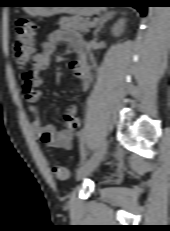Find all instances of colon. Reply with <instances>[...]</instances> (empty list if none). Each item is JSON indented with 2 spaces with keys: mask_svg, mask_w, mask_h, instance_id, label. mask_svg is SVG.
Listing matches in <instances>:
<instances>
[{
  "mask_svg": "<svg viewBox=\"0 0 170 231\" xmlns=\"http://www.w3.org/2000/svg\"><path fill=\"white\" fill-rule=\"evenodd\" d=\"M16 37L13 45V57L16 65L22 70L24 80L33 77L31 69H23L30 61L35 50L36 27L33 21L27 16H21L15 23ZM55 176L60 180H68L71 172L68 168L60 165L53 167Z\"/></svg>",
  "mask_w": 170,
  "mask_h": 231,
  "instance_id": "1",
  "label": "colon"
}]
</instances>
